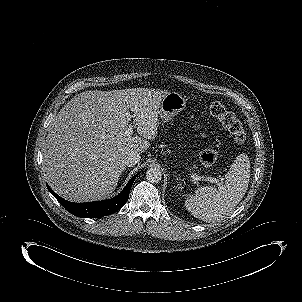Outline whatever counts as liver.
Instances as JSON below:
<instances>
[{
    "instance_id": "6515ba94",
    "label": "liver",
    "mask_w": 302,
    "mask_h": 302,
    "mask_svg": "<svg viewBox=\"0 0 302 302\" xmlns=\"http://www.w3.org/2000/svg\"><path fill=\"white\" fill-rule=\"evenodd\" d=\"M168 91L90 90L73 97L50 125L43 172L50 187L73 202L108 197L130 152H145L157 136L158 106ZM130 111L133 115L128 116ZM133 126L139 136H125Z\"/></svg>"
}]
</instances>
